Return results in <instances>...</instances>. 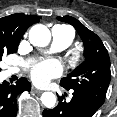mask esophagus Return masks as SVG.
Instances as JSON below:
<instances>
[{
	"instance_id": "esophagus-1",
	"label": "esophagus",
	"mask_w": 117,
	"mask_h": 117,
	"mask_svg": "<svg viewBox=\"0 0 117 117\" xmlns=\"http://www.w3.org/2000/svg\"><path fill=\"white\" fill-rule=\"evenodd\" d=\"M32 90L35 92V93H37V94H41L42 93V91L41 90H39V89H37V88H32Z\"/></svg>"
}]
</instances>
